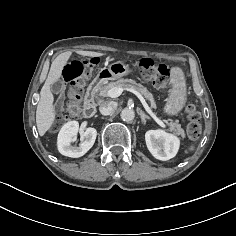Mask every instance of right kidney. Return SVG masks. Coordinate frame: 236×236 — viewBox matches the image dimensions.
Listing matches in <instances>:
<instances>
[{
  "label": "right kidney",
  "instance_id": "right-kidney-1",
  "mask_svg": "<svg viewBox=\"0 0 236 236\" xmlns=\"http://www.w3.org/2000/svg\"><path fill=\"white\" fill-rule=\"evenodd\" d=\"M79 132V123L77 121H70L66 123L58 134V150L59 152L68 157L78 158L83 156L94 144L97 136L95 128L88 127L81 133L83 140L79 146H73L72 139Z\"/></svg>",
  "mask_w": 236,
  "mask_h": 236
}]
</instances>
